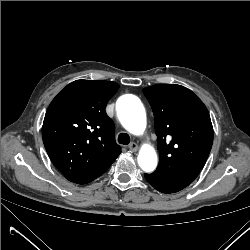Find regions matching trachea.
<instances>
[{
    "mask_svg": "<svg viewBox=\"0 0 250 250\" xmlns=\"http://www.w3.org/2000/svg\"><path fill=\"white\" fill-rule=\"evenodd\" d=\"M118 142L123 145H127L130 143V137L127 133H120L118 135Z\"/></svg>",
    "mask_w": 250,
    "mask_h": 250,
    "instance_id": "trachea-1",
    "label": "trachea"
}]
</instances>
